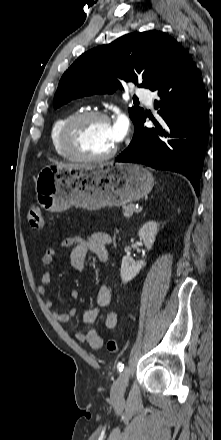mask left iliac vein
Instances as JSON below:
<instances>
[{
	"label": "left iliac vein",
	"instance_id": "left-iliac-vein-1",
	"mask_svg": "<svg viewBox=\"0 0 221 440\" xmlns=\"http://www.w3.org/2000/svg\"><path fill=\"white\" fill-rule=\"evenodd\" d=\"M130 371L129 369H124L111 388V398L113 400H120L123 398L124 393L126 391L128 381H129Z\"/></svg>",
	"mask_w": 221,
	"mask_h": 440
}]
</instances>
